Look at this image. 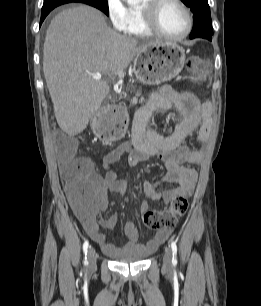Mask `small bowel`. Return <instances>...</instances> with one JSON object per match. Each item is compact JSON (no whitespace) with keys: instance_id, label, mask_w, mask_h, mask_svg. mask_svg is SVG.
Wrapping results in <instances>:
<instances>
[{"instance_id":"small-bowel-1","label":"small bowel","mask_w":261,"mask_h":306,"mask_svg":"<svg viewBox=\"0 0 261 306\" xmlns=\"http://www.w3.org/2000/svg\"><path fill=\"white\" fill-rule=\"evenodd\" d=\"M172 107L181 112L183 119L171 133L158 132L152 127L155 114ZM211 109L210 103H201L193 93L179 92L165 85L135 114L131 140L119 144L104 156L101 163L103 175L94 169L90 159H78L86 161L91 167L90 185L94 193L87 206L79 213L78 219L85 232L107 256L115 258L128 253L150 254L172 233L170 228H164L146 244H141L138 229L128 222L123 229L127 239L125 244L116 246L109 242L107 235L100 228H114L117 225V217H102V212L108 209L109 194L123 195L127 186L126 181L119 178L113 170V165L124 155H127L131 167L144 160H160L165 165L166 173L156 181L143 182L145 195L150 199L162 200L165 204L178 195H189L194 188L197 171L188 165L199 164L204 158ZM195 131H198V143L195 148L190 149L184 144V140ZM66 163L64 158L60 159L61 173ZM169 182L177 183L178 186L162 191L159 189L161 184ZM141 209L145 211L147 204H142Z\"/></svg>"}]
</instances>
